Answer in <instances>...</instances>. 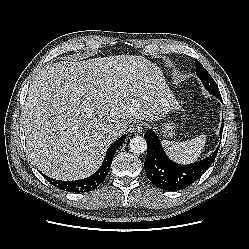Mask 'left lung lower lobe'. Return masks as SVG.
Instances as JSON below:
<instances>
[{
    "label": "left lung lower lobe",
    "instance_id": "0a47b994",
    "mask_svg": "<svg viewBox=\"0 0 249 249\" xmlns=\"http://www.w3.org/2000/svg\"><path fill=\"white\" fill-rule=\"evenodd\" d=\"M222 102V97H218ZM223 122V121H222ZM223 123L220 128L222 137ZM144 138L147 142V156L144 168L147 178L157 187L167 191L184 189L199 179L211 166L218 148L208 158L188 165H181L171 161L165 154L158 136L148 129Z\"/></svg>",
    "mask_w": 249,
    "mask_h": 249
}]
</instances>
